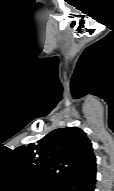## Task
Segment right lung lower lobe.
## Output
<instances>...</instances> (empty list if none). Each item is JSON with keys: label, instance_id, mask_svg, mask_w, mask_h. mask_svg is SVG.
Returning a JSON list of instances; mask_svg holds the SVG:
<instances>
[{"label": "right lung lower lobe", "instance_id": "1", "mask_svg": "<svg viewBox=\"0 0 114 191\" xmlns=\"http://www.w3.org/2000/svg\"><path fill=\"white\" fill-rule=\"evenodd\" d=\"M95 182L96 169L65 182L57 188V191H94Z\"/></svg>", "mask_w": 114, "mask_h": 191}]
</instances>
